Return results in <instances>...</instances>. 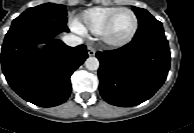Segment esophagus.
Wrapping results in <instances>:
<instances>
[{
  "label": "esophagus",
  "instance_id": "obj_1",
  "mask_svg": "<svg viewBox=\"0 0 194 133\" xmlns=\"http://www.w3.org/2000/svg\"><path fill=\"white\" fill-rule=\"evenodd\" d=\"M87 53H88L89 56H94L95 55V50L91 46H88L87 47Z\"/></svg>",
  "mask_w": 194,
  "mask_h": 133
}]
</instances>
